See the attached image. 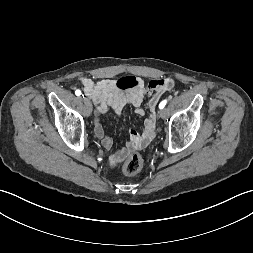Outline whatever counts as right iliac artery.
<instances>
[{"label":"right iliac artery","instance_id":"82829eb1","mask_svg":"<svg viewBox=\"0 0 253 253\" xmlns=\"http://www.w3.org/2000/svg\"><path fill=\"white\" fill-rule=\"evenodd\" d=\"M75 94H76L77 96H80V95H81V91H80V90H76V91H75ZM83 97H84V95H83Z\"/></svg>","mask_w":253,"mask_h":253}]
</instances>
